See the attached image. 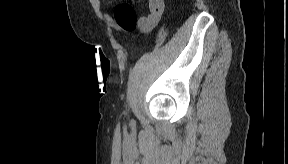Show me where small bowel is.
Returning <instances> with one entry per match:
<instances>
[{"label":"small bowel","mask_w":288,"mask_h":164,"mask_svg":"<svg viewBox=\"0 0 288 164\" xmlns=\"http://www.w3.org/2000/svg\"><path fill=\"white\" fill-rule=\"evenodd\" d=\"M149 9L150 14L142 17L144 22L142 29L144 31L151 30L158 23L165 9L164 2L162 0H150Z\"/></svg>","instance_id":"obj_1"}]
</instances>
